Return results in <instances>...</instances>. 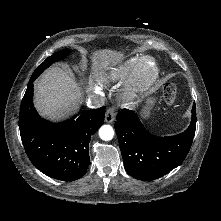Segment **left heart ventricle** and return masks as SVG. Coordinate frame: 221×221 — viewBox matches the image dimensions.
I'll return each instance as SVG.
<instances>
[{
	"label": "left heart ventricle",
	"mask_w": 221,
	"mask_h": 221,
	"mask_svg": "<svg viewBox=\"0 0 221 221\" xmlns=\"http://www.w3.org/2000/svg\"><path fill=\"white\" fill-rule=\"evenodd\" d=\"M147 71H150V68H149V67L147 68Z\"/></svg>",
	"instance_id": "1"
}]
</instances>
